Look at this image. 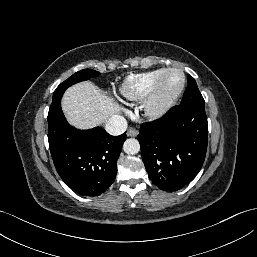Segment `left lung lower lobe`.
Returning <instances> with one entry per match:
<instances>
[{"label": "left lung lower lobe", "mask_w": 257, "mask_h": 257, "mask_svg": "<svg viewBox=\"0 0 257 257\" xmlns=\"http://www.w3.org/2000/svg\"><path fill=\"white\" fill-rule=\"evenodd\" d=\"M137 140L151 181L161 190H180L196 177L205 160V106H174L161 118L143 123Z\"/></svg>", "instance_id": "obj_1"}]
</instances>
